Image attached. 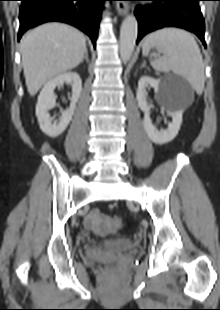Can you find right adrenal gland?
I'll return each instance as SVG.
<instances>
[{
	"label": "right adrenal gland",
	"mask_w": 220,
	"mask_h": 310,
	"mask_svg": "<svg viewBox=\"0 0 220 310\" xmlns=\"http://www.w3.org/2000/svg\"><path fill=\"white\" fill-rule=\"evenodd\" d=\"M84 60H86V62L89 63L88 51L85 52V56H84V58L82 59L81 62H83Z\"/></svg>",
	"instance_id": "obj_1"
}]
</instances>
